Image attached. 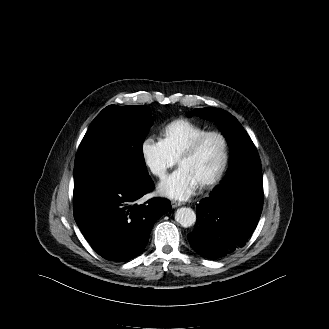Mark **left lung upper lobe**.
I'll list each match as a JSON object with an SVG mask.
<instances>
[{"label":"left lung upper lobe","instance_id":"left-lung-upper-lobe-1","mask_svg":"<svg viewBox=\"0 0 329 329\" xmlns=\"http://www.w3.org/2000/svg\"><path fill=\"white\" fill-rule=\"evenodd\" d=\"M193 115H197L209 120H214L219 125L221 131L230 144L231 160L227 175L224 179H226L227 176H229L240 163L246 164L251 161L260 162L254 143L234 116L222 109L212 107L195 109L188 116L192 117ZM222 184L223 183H221V185ZM221 185L214 189L211 197L219 198L222 196Z\"/></svg>","mask_w":329,"mask_h":329}]
</instances>
